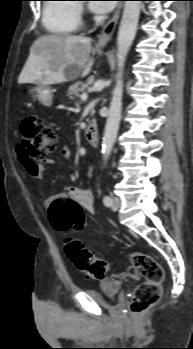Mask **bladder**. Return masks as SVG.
I'll list each match as a JSON object with an SVG mask.
<instances>
[{"label":"bladder","mask_w":193,"mask_h":349,"mask_svg":"<svg viewBox=\"0 0 193 349\" xmlns=\"http://www.w3.org/2000/svg\"><path fill=\"white\" fill-rule=\"evenodd\" d=\"M126 281V280H125ZM130 281V280H128ZM87 294L90 295L98 304L109 305V303H116L120 299V294H115L113 296H106L104 293L94 289H87Z\"/></svg>","instance_id":"obj_1"}]
</instances>
